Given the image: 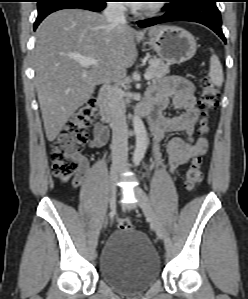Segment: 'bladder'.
Here are the masks:
<instances>
[{
  "label": "bladder",
  "mask_w": 248,
  "mask_h": 299,
  "mask_svg": "<svg viewBox=\"0 0 248 299\" xmlns=\"http://www.w3.org/2000/svg\"><path fill=\"white\" fill-rule=\"evenodd\" d=\"M160 259L148 236L140 230H118L105 243L99 257L101 278L119 291H146L159 277Z\"/></svg>",
  "instance_id": "31cf9c89"
}]
</instances>
